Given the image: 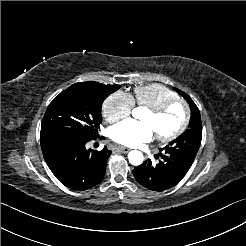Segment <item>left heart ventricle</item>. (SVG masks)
I'll return each mask as SVG.
<instances>
[{
	"label": "left heart ventricle",
	"instance_id": "b2bd125f",
	"mask_svg": "<svg viewBox=\"0 0 246 246\" xmlns=\"http://www.w3.org/2000/svg\"><path fill=\"white\" fill-rule=\"evenodd\" d=\"M182 108L178 105L159 117H153L147 110L142 121L147 123L156 135H166L174 131L182 120Z\"/></svg>",
	"mask_w": 246,
	"mask_h": 246
}]
</instances>
